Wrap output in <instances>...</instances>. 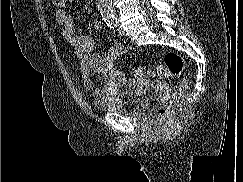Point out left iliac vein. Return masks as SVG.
I'll list each match as a JSON object with an SVG mask.
<instances>
[{"instance_id":"left-iliac-vein-1","label":"left iliac vein","mask_w":243,"mask_h":182,"mask_svg":"<svg viewBox=\"0 0 243 182\" xmlns=\"http://www.w3.org/2000/svg\"><path fill=\"white\" fill-rule=\"evenodd\" d=\"M118 30H119V34L121 36H126V32H125V30L123 28L120 27Z\"/></svg>"}]
</instances>
